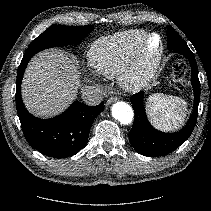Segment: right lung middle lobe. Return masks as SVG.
Listing matches in <instances>:
<instances>
[{"label":"right lung middle lobe","instance_id":"1","mask_svg":"<svg viewBox=\"0 0 211 211\" xmlns=\"http://www.w3.org/2000/svg\"><path fill=\"white\" fill-rule=\"evenodd\" d=\"M94 29L91 25L64 26L52 25L34 39L26 50L24 57H32L39 51L53 46L79 43Z\"/></svg>","mask_w":211,"mask_h":211}]
</instances>
